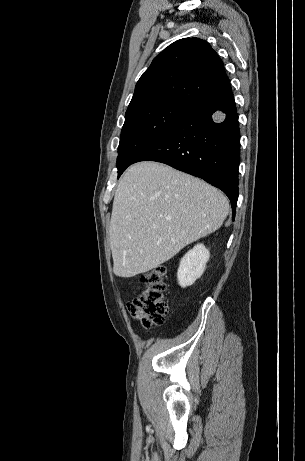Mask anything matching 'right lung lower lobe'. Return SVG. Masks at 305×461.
<instances>
[{"mask_svg": "<svg viewBox=\"0 0 305 461\" xmlns=\"http://www.w3.org/2000/svg\"><path fill=\"white\" fill-rule=\"evenodd\" d=\"M143 160L162 162L204 179L228 196L235 213L240 130L230 83L191 104L170 131L133 163Z\"/></svg>", "mask_w": 305, "mask_h": 461, "instance_id": "obj_1", "label": "right lung lower lobe"}]
</instances>
